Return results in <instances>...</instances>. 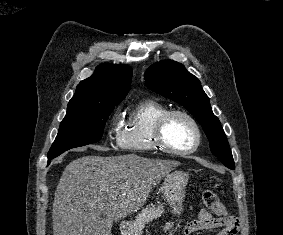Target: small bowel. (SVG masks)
<instances>
[{
	"mask_svg": "<svg viewBox=\"0 0 283 235\" xmlns=\"http://www.w3.org/2000/svg\"><path fill=\"white\" fill-rule=\"evenodd\" d=\"M170 225H167L169 228ZM240 228V222L235 217L230 218H216L208 211L203 210L198 217L185 225L183 228V235H191L192 233L220 229L217 235H237Z\"/></svg>",
	"mask_w": 283,
	"mask_h": 235,
	"instance_id": "c3829d8e",
	"label": "small bowel"
}]
</instances>
